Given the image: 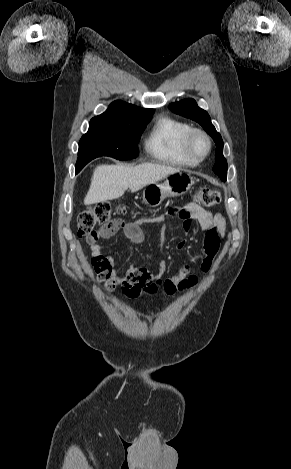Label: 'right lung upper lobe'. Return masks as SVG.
<instances>
[{"mask_svg":"<svg viewBox=\"0 0 291 469\" xmlns=\"http://www.w3.org/2000/svg\"><path fill=\"white\" fill-rule=\"evenodd\" d=\"M153 109H144L124 101L112 102L101 115L92 119L133 120L152 116Z\"/></svg>","mask_w":291,"mask_h":469,"instance_id":"1","label":"right lung upper lobe"}]
</instances>
